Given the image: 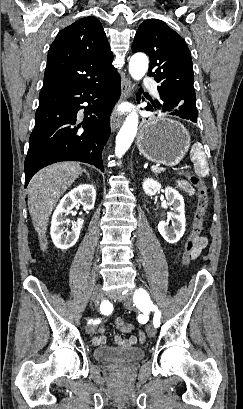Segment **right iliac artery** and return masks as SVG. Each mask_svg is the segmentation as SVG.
Returning a JSON list of instances; mask_svg holds the SVG:
<instances>
[{
    "mask_svg": "<svg viewBox=\"0 0 243 409\" xmlns=\"http://www.w3.org/2000/svg\"><path fill=\"white\" fill-rule=\"evenodd\" d=\"M100 321H101L100 319H96V320H94V321H93V320H89L88 323L98 324V323H100Z\"/></svg>",
    "mask_w": 243,
    "mask_h": 409,
    "instance_id": "obj_1",
    "label": "right iliac artery"
}]
</instances>
